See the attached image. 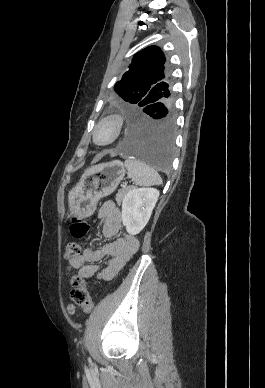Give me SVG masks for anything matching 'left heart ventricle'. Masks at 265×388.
<instances>
[{
  "label": "left heart ventricle",
  "instance_id": "1",
  "mask_svg": "<svg viewBox=\"0 0 265 388\" xmlns=\"http://www.w3.org/2000/svg\"><path fill=\"white\" fill-rule=\"evenodd\" d=\"M104 136H105V133L103 131H100L99 136H98L99 139L102 140L104 138Z\"/></svg>",
  "mask_w": 265,
  "mask_h": 388
}]
</instances>
